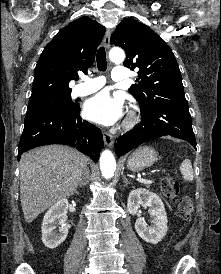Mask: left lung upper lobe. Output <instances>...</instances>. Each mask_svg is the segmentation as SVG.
Returning <instances> with one entry per match:
<instances>
[{
	"label": "left lung upper lobe",
	"instance_id": "1",
	"mask_svg": "<svg viewBox=\"0 0 221 274\" xmlns=\"http://www.w3.org/2000/svg\"><path fill=\"white\" fill-rule=\"evenodd\" d=\"M111 44L125 50V67L139 69V78L136 79L138 83L133 84L129 91L142 109L185 99L182 76L175 56L150 27L126 18L112 33Z\"/></svg>",
	"mask_w": 221,
	"mask_h": 274
}]
</instances>
